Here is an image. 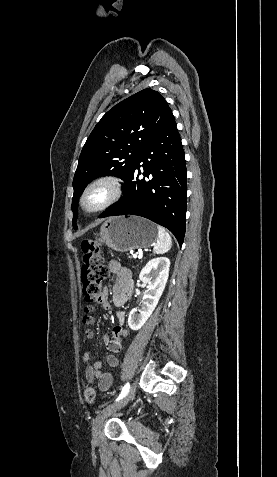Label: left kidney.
Instances as JSON below:
<instances>
[{
	"label": "left kidney",
	"instance_id": "left-kidney-1",
	"mask_svg": "<svg viewBox=\"0 0 277 477\" xmlns=\"http://www.w3.org/2000/svg\"><path fill=\"white\" fill-rule=\"evenodd\" d=\"M170 260L167 257L151 259L141 270L139 279L147 284L140 308L131 310L128 325L139 330L153 313L165 289L169 276Z\"/></svg>",
	"mask_w": 277,
	"mask_h": 477
}]
</instances>
